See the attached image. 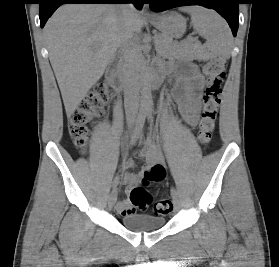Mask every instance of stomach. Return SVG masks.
<instances>
[{
	"label": "stomach",
	"mask_w": 279,
	"mask_h": 267,
	"mask_svg": "<svg viewBox=\"0 0 279 267\" xmlns=\"http://www.w3.org/2000/svg\"><path fill=\"white\" fill-rule=\"evenodd\" d=\"M151 23L166 37H182L186 31V19L176 13L168 12L151 20Z\"/></svg>",
	"instance_id": "obj_1"
}]
</instances>
